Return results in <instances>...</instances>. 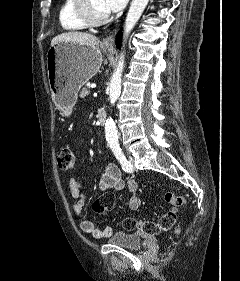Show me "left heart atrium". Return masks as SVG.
Segmentation results:
<instances>
[{"label": "left heart atrium", "mask_w": 240, "mask_h": 281, "mask_svg": "<svg viewBox=\"0 0 240 281\" xmlns=\"http://www.w3.org/2000/svg\"><path fill=\"white\" fill-rule=\"evenodd\" d=\"M107 12H117L125 7L128 0H104Z\"/></svg>", "instance_id": "left-heart-atrium-1"}]
</instances>
